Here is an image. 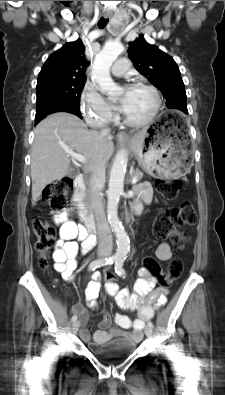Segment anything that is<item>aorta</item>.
Here are the masks:
<instances>
[{"label": "aorta", "mask_w": 225, "mask_h": 395, "mask_svg": "<svg viewBox=\"0 0 225 395\" xmlns=\"http://www.w3.org/2000/svg\"><path fill=\"white\" fill-rule=\"evenodd\" d=\"M124 47L121 43H107L96 55L93 63V78L99 85L100 91L105 94H118L121 90L110 76V67L118 56L123 52ZM127 152L121 150L117 153L109 179L107 191V216L110 227L115 236L117 249L115 259L122 261L130 251V240L118 218V203L124 189V179L127 166Z\"/></svg>", "instance_id": "1"}]
</instances>
